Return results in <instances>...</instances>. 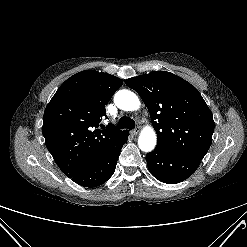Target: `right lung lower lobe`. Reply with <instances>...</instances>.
Instances as JSON below:
<instances>
[{"mask_svg": "<svg viewBox=\"0 0 247 247\" xmlns=\"http://www.w3.org/2000/svg\"><path fill=\"white\" fill-rule=\"evenodd\" d=\"M128 135L129 132L126 131L71 179L84 187H96L106 182L115 171L121 148L127 141Z\"/></svg>", "mask_w": 247, "mask_h": 247, "instance_id": "obj_1", "label": "right lung lower lobe"}]
</instances>
